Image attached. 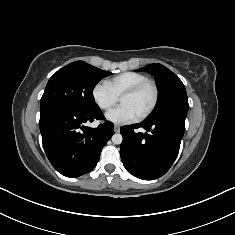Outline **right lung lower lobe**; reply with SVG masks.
Listing matches in <instances>:
<instances>
[{
  "mask_svg": "<svg viewBox=\"0 0 235 235\" xmlns=\"http://www.w3.org/2000/svg\"><path fill=\"white\" fill-rule=\"evenodd\" d=\"M105 120L99 107L72 111L63 107L40 109V131L46 155L53 167L67 177H78L97 164L102 148L114 134V125L105 121L97 128L86 122Z\"/></svg>",
  "mask_w": 235,
  "mask_h": 235,
  "instance_id": "1",
  "label": "right lung lower lobe"
}]
</instances>
